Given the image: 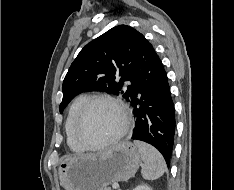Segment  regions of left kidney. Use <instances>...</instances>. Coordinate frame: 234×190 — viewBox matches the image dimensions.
<instances>
[{
	"label": "left kidney",
	"mask_w": 234,
	"mask_h": 190,
	"mask_svg": "<svg viewBox=\"0 0 234 190\" xmlns=\"http://www.w3.org/2000/svg\"><path fill=\"white\" fill-rule=\"evenodd\" d=\"M133 190H152L148 185H138Z\"/></svg>",
	"instance_id": "obj_1"
}]
</instances>
